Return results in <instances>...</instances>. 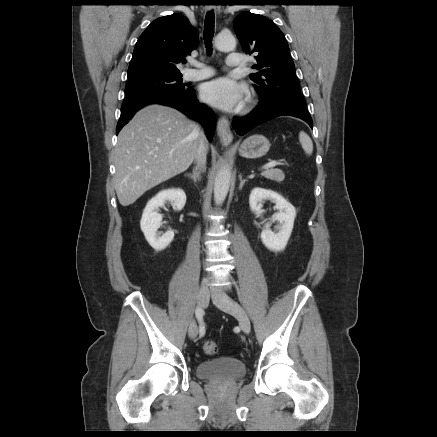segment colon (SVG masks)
<instances>
[{
  "instance_id": "colon-1",
  "label": "colon",
  "mask_w": 437,
  "mask_h": 437,
  "mask_svg": "<svg viewBox=\"0 0 437 437\" xmlns=\"http://www.w3.org/2000/svg\"><path fill=\"white\" fill-rule=\"evenodd\" d=\"M203 351L206 355H215L218 352L217 344L212 340H206L203 344Z\"/></svg>"
}]
</instances>
